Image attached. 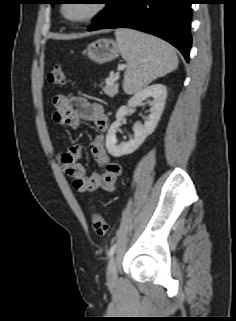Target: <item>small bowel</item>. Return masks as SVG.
<instances>
[{
  "label": "small bowel",
  "instance_id": "small-bowel-1",
  "mask_svg": "<svg viewBox=\"0 0 236 321\" xmlns=\"http://www.w3.org/2000/svg\"><path fill=\"white\" fill-rule=\"evenodd\" d=\"M53 120L59 125L78 128L83 121L91 122L97 131L89 150L101 172L88 174L83 164L78 162L82 146L62 149L58 153L61 169L73 181L74 189L81 194L96 190L113 191L123 168L113 161L105 149L104 133L109 120L103 107L77 95H57L52 100Z\"/></svg>",
  "mask_w": 236,
  "mask_h": 321
}]
</instances>
